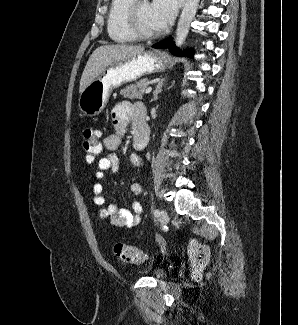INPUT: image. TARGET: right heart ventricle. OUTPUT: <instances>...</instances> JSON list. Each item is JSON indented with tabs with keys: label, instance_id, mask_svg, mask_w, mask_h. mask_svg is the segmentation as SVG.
<instances>
[{
	"label": "right heart ventricle",
	"instance_id": "1",
	"mask_svg": "<svg viewBox=\"0 0 298 325\" xmlns=\"http://www.w3.org/2000/svg\"><path fill=\"white\" fill-rule=\"evenodd\" d=\"M129 0H115L111 3L107 16V34L111 42L117 45L118 41L131 44L134 39L123 28V14Z\"/></svg>",
	"mask_w": 298,
	"mask_h": 325
}]
</instances>
